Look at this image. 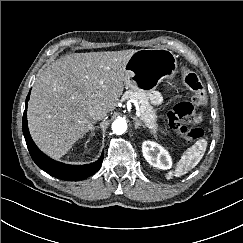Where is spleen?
<instances>
[{"instance_id": "3e777b00", "label": "spleen", "mask_w": 243, "mask_h": 243, "mask_svg": "<svg viewBox=\"0 0 243 243\" xmlns=\"http://www.w3.org/2000/svg\"><path fill=\"white\" fill-rule=\"evenodd\" d=\"M207 147V141L200 139L195 142L190 148H188L181 159L177 163L175 171H170L167 175V179H171L173 176L179 177L186 174L193 169L202 159Z\"/></svg>"}]
</instances>
